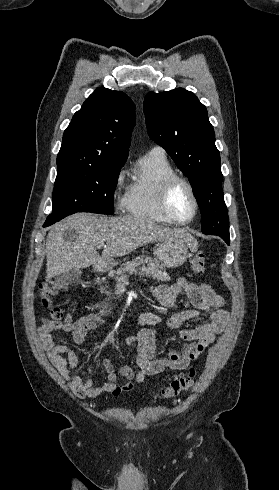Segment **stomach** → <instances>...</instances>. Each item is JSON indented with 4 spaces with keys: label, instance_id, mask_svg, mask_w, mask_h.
<instances>
[{
    "label": "stomach",
    "instance_id": "stomach-1",
    "mask_svg": "<svg viewBox=\"0 0 279 490\" xmlns=\"http://www.w3.org/2000/svg\"><path fill=\"white\" fill-rule=\"evenodd\" d=\"M189 248L190 246L186 244L184 238H171V240H165L163 244H158L156 250H153V254L165 268H179L184 262H187V258L192 256L189 254ZM105 266L113 268V258L109 262H105Z\"/></svg>",
    "mask_w": 279,
    "mask_h": 490
}]
</instances>
